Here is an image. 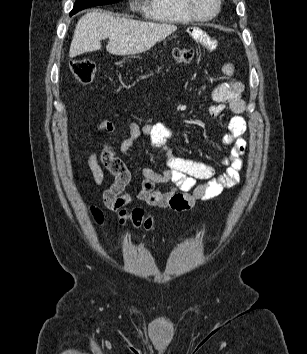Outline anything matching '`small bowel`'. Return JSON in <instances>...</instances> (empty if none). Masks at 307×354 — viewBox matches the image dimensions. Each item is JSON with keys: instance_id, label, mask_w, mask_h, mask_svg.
Masks as SVG:
<instances>
[{"instance_id": "small-bowel-1", "label": "small bowel", "mask_w": 307, "mask_h": 354, "mask_svg": "<svg viewBox=\"0 0 307 354\" xmlns=\"http://www.w3.org/2000/svg\"><path fill=\"white\" fill-rule=\"evenodd\" d=\"M188 33L192 39L208 49L216 47V42L202 29L191 28ZM222 71L228 78L234 75V67L231 64L223 65ZM242 91L243 85L233 81L219 86L213 93L216 104L209 109L212 118L220 119L226 103L234 114L228 121V132L222 138V143L230 146L229 154L222 160L226 169L218 177H215L214 168L209 163L180 157L173 152L169 141L175 136L176 131L170 125L156 123L140 126L134 122L127 124L128 135L120 143L119 153L125 155L135 141L144 136L164 164L161 173L148 167L141 168L143 181L136 192L138 200L153 207L186 211L193 208L196 202L214 198L224 189L238 184L243 167L242 156L246 150V141L243 138L246 122L241 116L245 110V103L240 98ZM98 129L101 132L112 133L115 131V125L109 120H104L98 124ZM87 164L97 185L104 182L101 164L114 176V182L103 195L104 202L109 208H121L131 202V196L126 193L131 178L130 172L126 163L114 150L105 148L100 156L90 153ZM157 184H170L172 187L169 191L163 192L156 188Z\"/></svg>"}]
</instances>
